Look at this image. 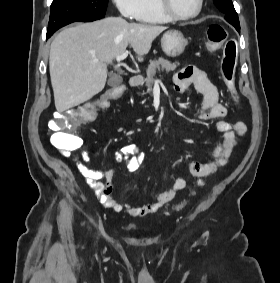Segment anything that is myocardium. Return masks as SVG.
<instances>
[{
  "mask_svg": "<svg viewBox=\"0 0 280 283\" xmlns=\"http://www.w3.org/2000/svg\"><path fill=\"white\" fill-rule=\"evenodd\" d=\"M157 3L161 12L170 20L175 21H186L196 18L201 13L204 6V0H198L197 9L193 13L188 15H180L172 9L169 0H157Z\"/></svg>",
  "mask_w": 280,
  "mask_h": 283,
  "instance_id": "1",
  "label": "myocardium"
}]
</instances>
